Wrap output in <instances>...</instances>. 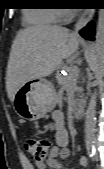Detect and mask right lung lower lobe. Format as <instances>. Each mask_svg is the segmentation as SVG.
Masks as SVG:
<instances>
[{"instance_id": "obj_1", "label": "right lung lower lobe", "mask_w": 104, "mask_h": 169, "mask_svg": "<svg viewBox=\"0 0 104 169\" xmlns=\"http://www.w3.org/2000/svg\"><path fill=\"white\" fill-rule=\"evenodd\" d=\"M80 35L87 40H94V24L90 22L85 28L80 31Z\"/></svg>"}]
</instances>
